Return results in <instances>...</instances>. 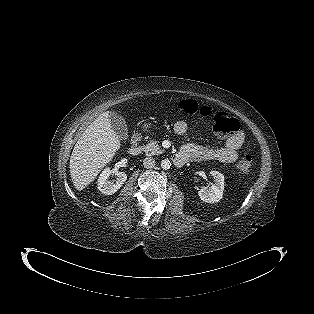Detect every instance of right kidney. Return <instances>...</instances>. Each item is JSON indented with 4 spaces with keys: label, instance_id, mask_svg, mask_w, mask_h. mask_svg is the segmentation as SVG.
<instances>
[{
    "label": "right kidney",
    "instance_id": "obj_1",
    "mask_svg": "<svg viewBox=\"0 0 314 314\" xmlns=\"http://www.w3.org/2000/svg\"><path fill=\"white\" fill-rule=\"evenodd\" d=\"M112 172L109 168H106L99 176L98 189L105 195H112L121 188L124 182L127 180V176L124 172H115L116 179L108 180Z\"/></svg>",
    "mask_w": 314,
    "mask_h": 314
}]
</instances>
